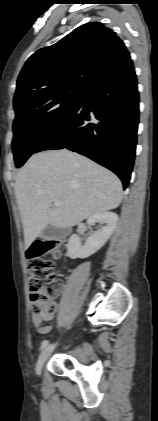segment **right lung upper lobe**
<instances>
[{"mask_svg":"<svg viewBox=\"0 0 158 421\" xmlns=\"http://www.w3.org/2000/svg\"><path fill=\"white\" fill-rule=\"evenodd\" d=\"M126 52L123 41L110 28L100 22L83 24L27 60L17 80L14 104L42 91L85 86L99 70Z\"/></svg>","mask_w":158,"mask_h":421,"instance_id":"right-lung-upper-lobe-1","label":"right lung upper lobe"}]
</instances>
